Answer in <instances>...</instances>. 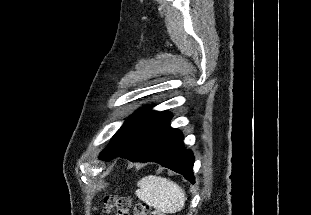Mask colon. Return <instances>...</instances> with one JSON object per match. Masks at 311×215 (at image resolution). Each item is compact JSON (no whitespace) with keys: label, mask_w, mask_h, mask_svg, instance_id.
I'll list each match as a JSON object with an SVG mask.
<instances>
[{"label":"colon","mask_w":311,"mask_h":215,"mask_svg":"<svg viewBox=\"0 0 311 215\" xmlns=\"http://www.w3.org/2000/svg\"><path fill=\"white\" fill-rule=\"evenodd\" d=\"M103 210L105 213L116 211L118 215H165L157 209H152L146 203L132 204L128 197H118L106 195L102 199Z\"/></svg>","instance_id":"obj_1"}]
</instances>
